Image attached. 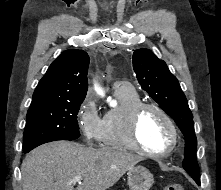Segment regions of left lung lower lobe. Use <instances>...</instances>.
Wrapping results in <instances>:
<instances>
[{
	"mask_svg": "<svg viewBox=\"0 0 221 190\" xmlns=\"http://www.w3.org/2000/svg\"><path fill=\"white\" fill-rule=\"evenodd\" d=\"M198 185H200V179H194Z\"/></svg>",
	"mask_w": 221,
	"mask_h": 190,
	"instance_id": "0a47b994",
	"label": "left lung lower lobe"
}]
</instances>
